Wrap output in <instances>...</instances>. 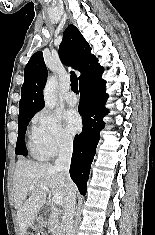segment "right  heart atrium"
<instances>
[{"mask_svg": "<svg viewBox=\"0 0 155 235\" xmlns=\"http://www.w3.org/2000/svg\"><path fill=\"white\" fill-rule=\"evenodd\" d=\"M31 134L35 143L48 157L67 152L73 146V138L65 130L60 117L46 109L34 116Z\"/></svg>", "mask_w": 155, "mask_h": 235, "instance_id": "d8ad5b80", "label": "right heart atrium"}]
</instances>
